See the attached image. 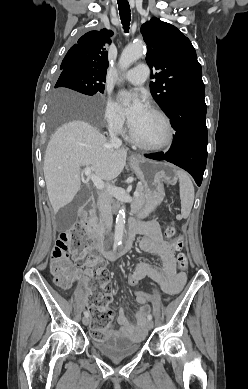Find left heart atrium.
Here are the masks:
<instances>
[{"label": "left heart atrium", "mask_w": 248, "mask_h": 389, "mask_svg": "<svg viewBox=\"0 0 248 389\" xmlns=\"http://www.w3.org/2000/svg\"><path fill=\"white\" fill-rule=\"evenodd\" d=\"M118 102L130 126L134 125L147 109L143 98L132 91L120 92Z\"/></svg>", "instance_id": "1"}]
</instances>
